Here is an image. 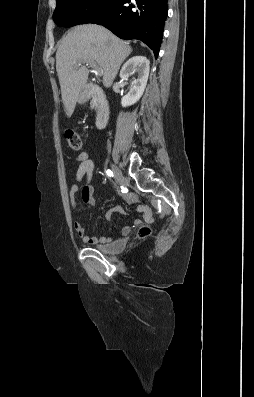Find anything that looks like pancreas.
Segmentation results:
<instances>
[{"instance_id": "1", "label": "pancreas", "mask_w": 254, "mask_h": 397, "mask_svg": "<svg viewBox=\"0 0 254 397\" xmlns=\"http://www.w3.org/2000/svg\"><path fill=\"white\" fill-rule=\"evenodd\" d=\"M97 104H98V98L95 96V97H93L92 100H91V103H90L91 108H92V109L96 108V107H97Z\"/></svg>"}]
</instances>
